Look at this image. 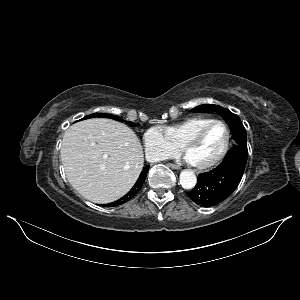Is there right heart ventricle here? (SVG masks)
<instances>
[{
	"label": "right heart ventricle",
	"instance_id": "right-heart-ventricle-1",
	"mask_svg": "<svg viewBox=\"0 0 300 300\" xmlns=\"http://www.w3.org/2000/svg\"><path fill=\"white\" fill-rule=\"evenodd\" d=\"M214 120L205 116H193L184 118L178 122L162 126L170 141L177 147H182L197 130Z\"/></svg>",
	"mask_w": 300,
	"mask_h": 300
}]
</instances>
